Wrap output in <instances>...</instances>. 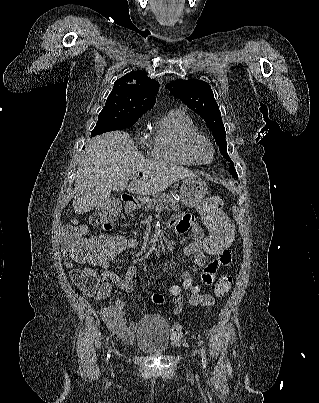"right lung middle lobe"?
Wrapping results in <instances>:
<instances>
[{"label":"right lung middle lobe","mask_w":319,"mask_h":403,"mask_svg":"<svg viewBox=\"0 0 319 403\" xmlns=\"http://www.w3.org/2000/svg\"><path fill=\"white\" fill-rule=\"evenodd\" d=\"M144 113L128 107L117 105H105L98 116V121L91 135H99L105 132L128 128Z\"/></svg>","instance_id":"obj_1"}]
</instances>
